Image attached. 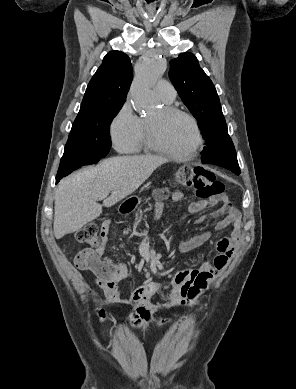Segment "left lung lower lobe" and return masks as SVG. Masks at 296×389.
I'll list each match as a JSON object with an SVG mask.
<instances>
[{
    "label": "left lung lower lobe",
    "mask_w": 296,
    "mask_h": 389,
    "mask_svg": "<svg viewBox=\"0 0 296 389\" xmlns=\"http://www.w3.org/2000/svg\"><path fill=\"white\" fill-rule=\"evenodd\" d=\"M201 154L203 164H215L231 170L236 175L241 173L227 127L214 136L213 141L203 148Z\"/></svg>",
    "instance_id": "0a47b994"
}]
</instances>
